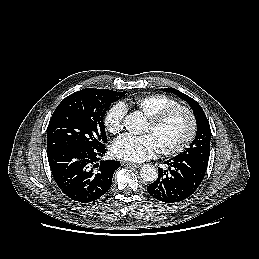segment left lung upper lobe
Wrapping results in <instances>:
<instances>
[{
    "mask_svg": "<svg viewBox=\"0 0 259 259\" xmlns=\"http://www.w3.org/2000/svg\"><path fill=\"white\" fill-rule=\"evenodd\" d=\"M162 90L164 92L174 93L188 102L191 108H193L197 122V135L194 141L186 151L177 156L193 160L194 162L207 167L210 154L211 130L203 109L194 99L174 88H165Z\"/></svg>",
    "mask_w": 259,
    "mask_h": 259,
    "instance_id": "1",
    "label": "left lung upper lobe"
}]
</instances>
